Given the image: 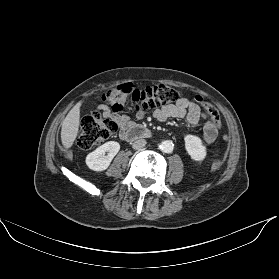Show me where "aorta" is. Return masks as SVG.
I'll list each match as a JSON object with an SVG mask.
<instances>
[{
	"mask_svg": "<svg viewBox=\"0 0 279 279\" xmlns=\"http://www.w3.org/2000/svg\"><path fill=\"white\" fill-rule=\"evenodd\" d=\"M160 149L165 153H170L173 151L174 144L172 141L165 140L160 144Z\"/></svg>",
	"mask_w": 279,
	"mask_h": 279,
	"instance_id": "aorta-1",
	"label": "aorta"
}]
</instances>
